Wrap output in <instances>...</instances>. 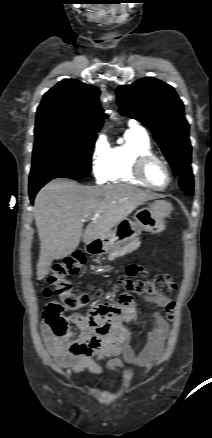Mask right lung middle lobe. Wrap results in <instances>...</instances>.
Segmentation results:
<instances>
[{
    "label": "right lung middle lobe",
    "mask_w": 212,
    "mask_h": 438,
    "mask_svg": "<svg viewBox=\"0 0 212 438\" xmlns=\"http://www.w3.org/2000/svg\"><path fill=\"white\" fill-rule=\"evenodd\" d=\"M96 133L48 129L35 132L30 177L44 174L88 175Z\"/></svg>",
    "instance_id": "1"
}]
</instances>
